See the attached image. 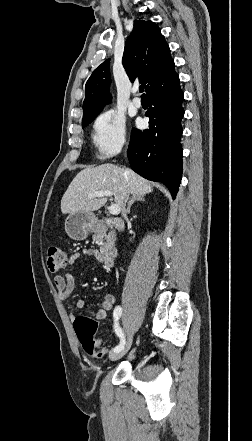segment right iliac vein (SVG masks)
I'll return each mask as SVG.
<instances>
[{
  "label": "right iliac vein",
  "instance_id": "1",
  "mask_svg": "<svg viewBox=\"0 0 252 441\" xmlns=\"http://www.w3.org/2000/svg\"><path fill=\"white\" fill-rule=\"evenodd\" d=\"M131 343H132V336L130 335L126 346L122 350H120L118 352L113 351L109 354L110 360L116 361V360L122 358L130 349Z\"/></svg>",
  "mask_w": 252,
  "mask_h": 441
}]
</instances>
